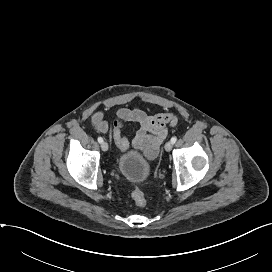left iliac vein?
Listing matches in <instances>:
<instances>
[{"label":"left iliac vein","instance_id":"1","mask_svg":"<svg viewBox=\"0 0 272 272\" xmlns=\"http://www.w3.org/2000/svg\"><path fill=\"white\" fill-rule=\"evenodd\" d=\"M172 147H173V144L171 143V141H170V142H167V143L165 144V150H166L167 152L171 151Z\"/></svg>","mask_w":272,"mask_h":272}]
</instances>
